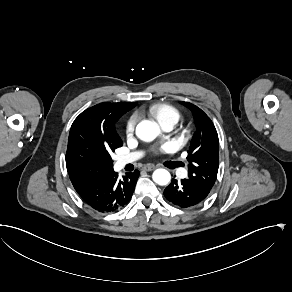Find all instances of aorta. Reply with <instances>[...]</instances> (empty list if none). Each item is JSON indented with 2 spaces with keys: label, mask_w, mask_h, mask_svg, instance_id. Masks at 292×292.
<instances>
[{
  "label": "aorta",
  "mask_w": 292,
  "mask_h": 292,
  "mask_svg": "<svg viewBox=\"0 0 292 292\" xmlns=\"http://www.w3.org/2000/svg\"><path fill=\"white\" fill-rule=\"evenodd\" d=\"M160 133V129L155 122L143 120L136 127V135L139 139L150 142ZM153 181L158 185H167L171 180V175L166 169H156L152 175Z\"/></svg>",
  "instance_id": "1"
}]
</instances>
